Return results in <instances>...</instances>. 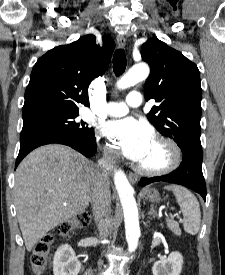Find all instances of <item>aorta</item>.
<instances>
[{"mask_svg": "<svg viewBox=\"0 0 225 275\" xmlns=\"http://www.w3.org/2000/svg\"><path fill=\"white\" fill-rule=\"evenodd\" d=\"M149 72V67L146 64H137L119 79L116 86L118 89L131 87L145 80ZM114 183L123 208L128 250L129 252H133L137 248L140 236L139 215L136 200L133 195L134 190L122 170L115 172Z\"/></svg>", "mask_w": 225, "mask_h": 275, "instance_id": "aorta-1", "label": "aorta"}]
</instances>
